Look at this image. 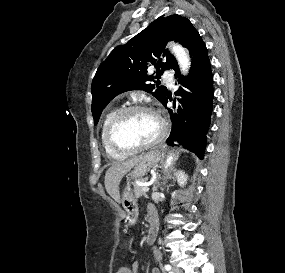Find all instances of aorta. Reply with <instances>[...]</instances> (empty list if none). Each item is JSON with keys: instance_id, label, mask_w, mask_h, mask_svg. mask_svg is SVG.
Listing matches in <instances>:
<instances>
[{"instance_id": "762f6f07", "label": "aorta", "mask_w": 285, "mask_h": 273, "mask_svg": "<svg viewBox=\"0 0 285 273\" xmlns=\"http://www.w3.org/2000/svg\"><path fill=\"white\" fill-rule=\"evenodd\" d=\"M172 53L176 57L178 64L183 73H187L190 68V58L186 50L179 44H173L171 47ZM173 161V156H168L165 164V168H168Z\"/></svg>"}]
</instances>
